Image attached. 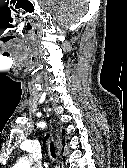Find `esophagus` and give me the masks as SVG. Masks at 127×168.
I'll return each instance as SVG.
<instances>
[{
    "instance_id": "34e87169",
    "label": "esophagus",
    "mask_w": 127,
    "mask_h": 168,
    "mask_svg": "<svg viewBox=\"0 0 127 168\" xmlns=\"http://www.w3.org/2000/svg\"><path fill=\"white\" fill-rule=\"evenodd\" d=\"M59 143V134H57V144Z\"/></svg>"
}]
</instances>
